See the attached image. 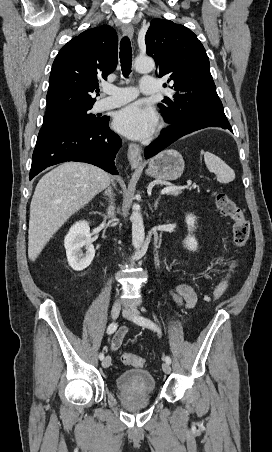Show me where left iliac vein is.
Masks as SVG:
<instances>
[{
    "instance_id": "4c4485c4",
    "label": "left iliac vein",
    "mask_w": 272,
    "mask_h": 452,
    "mask_svg": "<svg viewBox=\"0 0 272 452\" xmlns=\"http://www.w3.org/2000/svg\"><path fill=\"white\" fill-rule=\"evenodd\" d=\"M122 314L128 320H134V318L139 315V312L134 308H126L123 310ZM162 369L166 374H169L171 372L170 364L167 362H164L162 364Z\"/></svg>"
}]
</instances>
